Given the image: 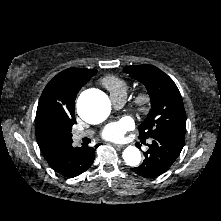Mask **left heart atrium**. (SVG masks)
<instances>
[{
    "label": "left heart atrium",
    "instance_id": "1",
    "mask_svg": "<svg viewBox=\"0 0 221 221\" xmlns=\"http://www.w3.org/2000/svg\"><path fill=\"white\" fill-rule=\"evenodd\" d=\"M133 123L129 118H122L118 121L108 124L103 130L102 136L107 140H122L125 133L132 129Z\"/></svg>",
    "mask_w": 221,
    "mask_h": 221
}]
</instances>
